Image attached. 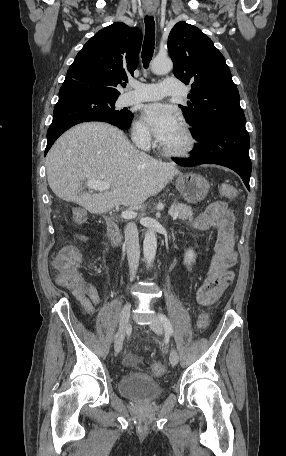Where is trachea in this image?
Returning <instances> with one entry per match:
<instances>
[{
    "label": "trachea",
    "instance_id": "trachea-1",
    "mask_svg": "<svg viewBox=\"0 0 286 456\" xmlns=\"http://www.w3.org/2000/svg\"><path fill=\"white\" fill-rule=\"evenodd\" d=\"M145 38L142 47V62L144 68L149 67L150 60L152 59L154 53V45H155V22L153 17L146 16L145 17Z\"/></svg>",
    "mask_w": 286,
    "mask_h": 456
}]
</instances>
